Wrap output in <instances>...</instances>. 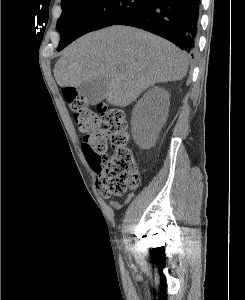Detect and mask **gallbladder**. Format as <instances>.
<instances>
[{
  "label": "gallbladder",
  "instance_id": "1",
  "mask_svg": "<svg viewBox=\"0 0 245 300\" xmlns=\"http://www.w3.org/2000/svg\"><path fill=\"white\" fill-rule=\"evenodd\" d=\"M108 84L109 79L107 77H98L81 84L79 93L85 98L88 104L96 105L105 98Z\"/></svg>",
  "mask_w": 245,
  "mask_h": 300
}]
</instances>
